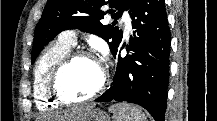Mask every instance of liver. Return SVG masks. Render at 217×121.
Masks as SVG:
<instances>
[{
  "mask_svg": "<svg viewBox=\"0 0 217 121\" xmlns=\"http://www.w3.org/2000/svg\"><path fill=\"white\" fill-rule=\"evenodd\" d=\"M89 112H90V109H84L83 112H81V114H79V116L77 117V120L83 119L84 116L87 115ZM71 116L72 115L69 113H64V115L57 116V119H59V121H65V120H69Z\"/></svg>",
  "mask_w": 217,
  "mask_h": 121,
  "instance_id": "1",
  "label": "liver"
}]
</instances>
